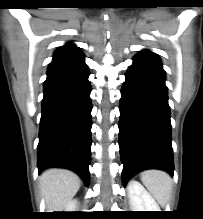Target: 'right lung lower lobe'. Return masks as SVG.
<instances>
[{"instance_id": "obj_1", "label": "right lung lower lobe", "mask_w": 203, "mask_h": 219, "mask_svg": "<svg viewBox=\"0 0 203 219\" xmlns=\"http://www.w3.org/2000/svg\"><path fill=\"white\" fill-rule=\"evenodd\" d=\"M84 57L51 62L44 82L38 144V170L76 172L89 184L91 86Z\"/></svg>"}]
</instances>
